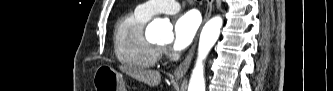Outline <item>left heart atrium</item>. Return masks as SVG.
I'll return each instance as SVG.
<instances>
[{"label": "left heart atrium", "mask_w": 333, "mask_h": 91, "mask_svg": "<svg viewBox=\"0 0 333 91\" xmlns=\"http://www.w3.org/2000/svg\"><path fill=\"white\" fill-rule=\"evenodd\" d=\"M199 24V17L194 12L179 16L173 24L172 49L181 51L188 47L197 33Z\"/></svg>", "instance_id": "left-heart-atrium-1"}]
</instances>
